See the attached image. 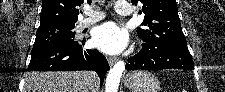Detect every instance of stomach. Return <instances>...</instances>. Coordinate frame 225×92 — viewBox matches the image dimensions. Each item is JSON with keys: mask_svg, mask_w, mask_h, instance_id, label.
<instances>
[{"mask_svg": "<svg viewBox=\"0 0 225 92\" xmlns=\"http://www.w3.org/2000/svg\"><path fill=\"white\" fill-rule=\"evenodd\" d=\"M126 87L132 92H159L158 79L148 71H133L125 77Z\"/></svg>", "mask_w": 225, "mask_h": 92, "instance_id": "stomach-1", "label": "stomach"}]
</instances>
